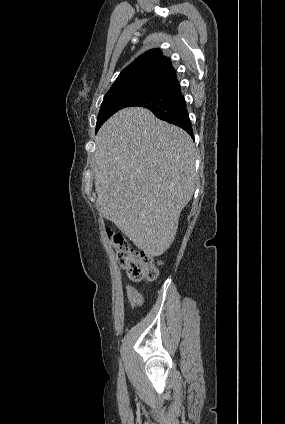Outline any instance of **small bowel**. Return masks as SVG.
<instances>
[{"label":"small bowel","instance_id":"1","mask_svg":"<svg viewBox=\"0 0 285 424\" xmlns=\"http://www.w3.org/2000/svg\"><path fill=\"white\" fill-rule=\"evenodd\" d=\"M126 298L132 308H136L143 303V298L137 289L131 285L125 287Z\"/></svg>","mask_w":285,"mask_h":424}]
</instances>
